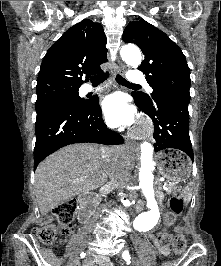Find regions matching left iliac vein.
Wrapping results in <instances>:
<instances>
[{"mask_svg":"<svg viewBox=\"0 0 221 266\" xmlns=\"http://www.w3.org/2000/svg\"><path fill=\"white\" fill-rule=\"evenodd\" d=\"M131 260H132V265H133V266H142L140 260H139L137 257L132 256V257H131Z\"/></svg>","mask_w":221,"mask_h":266,"instance_id":"4c4485c4","label":"left iliac vein"}]
</instances>
